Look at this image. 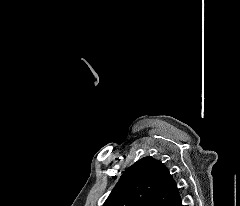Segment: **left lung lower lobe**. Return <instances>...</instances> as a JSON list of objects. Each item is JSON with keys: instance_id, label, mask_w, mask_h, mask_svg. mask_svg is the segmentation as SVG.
Wrapping results in <instances>:
<instances>
[{"instance_id": "0a47b994", "label": "left lung lower lobe", "mask_w": 240, "mask_h": 206, "mask_svg": "<svg viewBox=\"0 0 240 206\" xmlns=\"http://www.w3.org/2000/svg\"><path fill=\"white\" fill-rule=\"evenodd\" d=\"M171 206H183L180 194L177 196Z\"/></svg>"}]
</instances>
